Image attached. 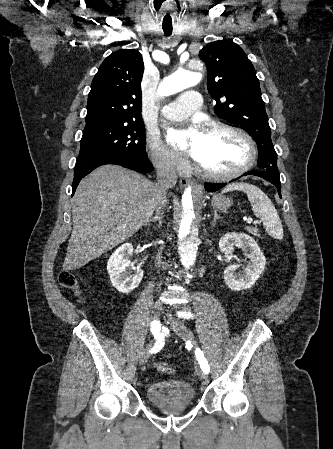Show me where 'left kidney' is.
Returning a JSON list of instances; mask_svg holds the SVG:
<instances>
[{"label":"left kidney","instance_id":"5707ae66","mask_svg":"<svg viewBox=\"0 0 333 449\" xmlns=\"http://www.w3.org/2000/svg\"><path fill=\"white\" fill-rule=\"evenodd\" d=\"M235 246L246 252L250 262L240 276L236 274L239 266L229 265L224 271V280L229 288L239 291L250 288L256 282L265 268L266 259L257 242L248 234L227 233L219 240L220 250L227 256L232 255Z\"/></svg>","mask_w":333,"mask_h":449}]
</instances>
